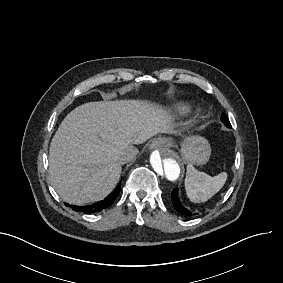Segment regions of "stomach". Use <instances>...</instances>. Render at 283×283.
I'll return each instance as SVG.
<instances>
[{
  "label": "stomach",
  "instance_id": "stomach-1",
  "mask_svg": "<svg viewBox=\"0 0 283 283\" xmlns=\"http://www.w3.org/2000/svg\"><path fill=\"white\" fill-rule=\"evenodd\" d=\"M165 144L170 146L172 139H165ZM180 154L186 163L204 165L209 161L211 147L208 140L202 136H188L180 143Z\"/></svg>",
  "mask_w": 283,
  "mask_h": 283
}]
</instances>
